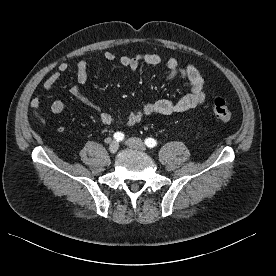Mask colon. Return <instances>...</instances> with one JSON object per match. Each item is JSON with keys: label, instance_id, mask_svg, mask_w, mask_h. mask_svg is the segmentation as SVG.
<instances>
[{"label": "colon", "instance_id": "5ec220e1", "mask_svg": "<svg viewBox=\"0 0 276 276\" xmlns=\"http://www.w3.org/2000/svg\"><path fill=\"white\" fill-rule=\"evenodd\" d=\"M212 113L214 117L221 122H229L232 118V110L226 101L216 97L212 101Z\"/></svg>", "mask_w": 276, "mask_h": 276}]
</instances>
